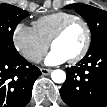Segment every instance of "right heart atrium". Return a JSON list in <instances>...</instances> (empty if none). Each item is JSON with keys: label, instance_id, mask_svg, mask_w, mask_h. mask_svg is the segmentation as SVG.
<instances>
[{"label": "right heart atrium", "instance_id": "obj_1", "mask_svg": "<svg viewBox=\"0 0 107 107\" xmlns=\"http://www.w3.org/2000/svg\"><path fill=\"white\" fill-rule=\"evenodd\" d=\"M12 41L19 54L32 63L39 62L49 47V44L38 36L33 27L24 23L15 26Z\"/></svg>", "mask_w": 107, "mask_h": 107}]
</instances>
